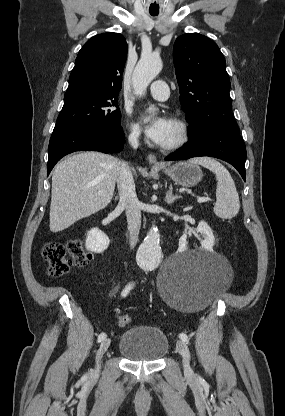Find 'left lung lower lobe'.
<instances>
[{"label":"left lung lower lobe","mask_w":285,"mask_h":416,"mask_svg":"<svg viewBox=\"0 0 285 416\" xmlns=\"http://www.w3.org/2000/svg\"><path fill=\"white\" fill-rule=\"evenodd\" d=\"M188 143L165 160L210 156L232 164L245 181L246 147L236 123L220 124L189 137Z\"/></svg>","instance_id":"obj_1"}]
</instances>
